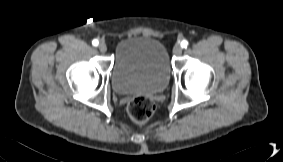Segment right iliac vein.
<instances>
[{"label": "right iliac vein", "instance_id": "obj_1", "mask_svg": "<svg viewBox=\"0 0 283 162\" xmlns=\"http://www.w3.org/2000/svg\"><path fill=\"white\" fill-rule=\"evenodd\" d=\"M98 48L102 53H105L107 51V45L103 42L99 44Z\"/></svg>", "mask_w": 283, "mask_h": 162}]
</instances>
